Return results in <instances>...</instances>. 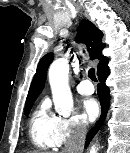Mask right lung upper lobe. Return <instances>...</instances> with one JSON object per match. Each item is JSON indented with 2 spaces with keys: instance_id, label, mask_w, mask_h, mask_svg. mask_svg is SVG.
<instances>
[{
  "instance_id": "right-lung-upper-lobe-1",
  "label": "right lung upper lobe",
  "mask_w": 130,
  "mask_h": 153,
  "mask_svg": "<svg viewBox=\"0 0 130 153\" xmlns=\"http://www.w3.org/2000/svg\"><path fill=\"white\" fill-rule=\"evenodd\" d=\"M102 37V32L91 21L84 19L80 22L76 40L84 41L92 60H100L97 65V73L103 70L108 64V58L102 55V49L105 47V44L102 43ZM53 57V53H48L40 60L29 89L26 104L34 102L43 90L46 82L47 69Z\"/></svg>"
}]
</instances>
